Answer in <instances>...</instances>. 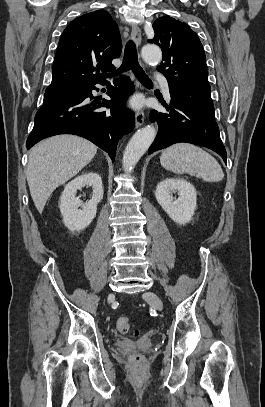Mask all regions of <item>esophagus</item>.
Listing matches in <instances>:
<instances>
[{"mask_svg":"<svg viewBox=\"0 0 265 407\" xmlns=\"http://www.w3.org/2000/svg\"><path fill=\"white\" fill-rule=\"evenodd\" d=\"M131 37L133 39V41L135 42V44L137 45V47L140 46L141 44V31L140 28L137 25H133L132 29H131ZM140 64L143 66V62L140 60ZM144 118H145V113L144 111L140 110L136 113L135 116V126L141 127L144 123Z\"/></svg>","mask_w":265,"mask_h":407,"instance_id":"34e87169","label":"esophagus"}]
</instances>
